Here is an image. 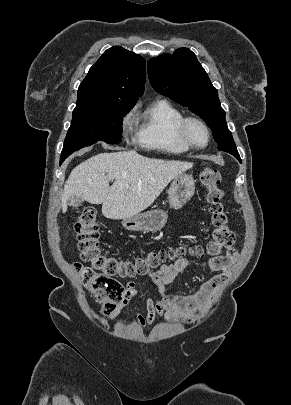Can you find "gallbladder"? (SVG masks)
<instances>
[{
	"label": "gallbladder",
	"instance_id": "gallbladder-1",
	"mask_svg": "<svg viewBox=\"0 0 291 405\" xmlns=\"http://www.w3.org/2000/svg\"><path fill=\"white\" fill-rule=\"evenodd\" d=\"M81 200L79 198L73 197L69 201V205H71L74 208H77L81 205Z\"/></svg>",
	"mask_w": 291,
	"mask_h": 405
}]
</instances>
